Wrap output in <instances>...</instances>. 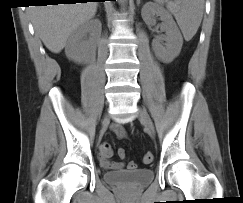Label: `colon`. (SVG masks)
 I'll return each instance as SVG.
<instances>
[{
	"label": "colon",
	"instance_id": "colon-1",
	"mask_svg": "<svg viewBox=\"0 0 243 203\" xmlns=\"http://www.w3.org/2000/svg\"><path fill=\"white\" fill-rule=\"evenodd\" d=\"M119 154L120 155H125V150L124 149H119ZM153 159H154V156L151 152H148L146 153L144 156H143V163L145 164H150L153 162ZM136 168V164L134 162H129L128 163V169L130 170H133Z\"/></svg>",
	"mask_w": 243,
	"mask_h": 203
}]
</instances>
